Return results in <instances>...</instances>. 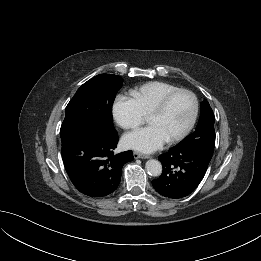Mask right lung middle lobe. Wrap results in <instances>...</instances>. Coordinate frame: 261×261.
Segmentation results:
<instances>
[{
    "mask_svg": "<svg viewBox=\"0 0 261 261\" xmlns=\"http://www.w3.org/2000/svg\"><path fill=\"white\" fill-rule=\"evenodd\" d=\"M123 79L113 74H100L84 83L66 107L61 125V140L83 131H115L112 105Z\"/></svg>",
    "mask_w": 261,
    "mask_h": 261,
    "instance_id": "obj_1",
    "label": "right lung middle lobe"
}]
</instances>
